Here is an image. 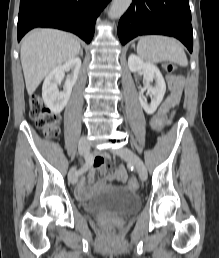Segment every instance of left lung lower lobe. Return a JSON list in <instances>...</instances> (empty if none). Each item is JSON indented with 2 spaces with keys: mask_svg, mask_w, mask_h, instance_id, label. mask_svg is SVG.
Here are the masks:
<instances>
[{
  "mask_svg": "<svg viewBox=\"0 0 219 258\" xmlns=\"http://www.w3.org/2000/svg\"><path fill=\"white\" fill-rule=\"evenodd\" d=\"M147 34L176 37L192 52L189 0H133L119 21V39L125 45L131 39Z\"/></svg>",
  "mask_w": 219,
  "mask_h": 258,
  "instance_id": "obj_1",
  "label": "left lung lower lobe"
}]
</instances>
